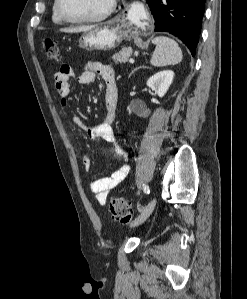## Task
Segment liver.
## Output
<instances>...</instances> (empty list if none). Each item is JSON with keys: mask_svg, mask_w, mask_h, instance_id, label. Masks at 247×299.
<instances>
[{"mask_svg": "<svg viewBox=\"0 0 247 299\" xmlns=\"http://www.w3.org/2000/svg\"><path fill=\"white\" fill-rule=\"evenodd\" d=\"M94 27H95L94 25H87V26L63 28V29H60V31L65 32V33H80V32L90 31Z\"/></svg>", "mask_w": 247, "mask_h": 299, "instance_id": "obj_1", "label": "liver"}]
</instances>
